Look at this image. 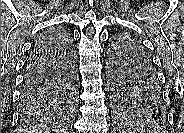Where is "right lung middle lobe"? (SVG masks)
<instances>
[{"instance_id":"obj_1","label":"right lung middle lobe","mask_w":184,"mask_h":133,"mask_svg":"<svg viewBox=\"0 0 184 133\" xmlns=\"http://www.w3.org/2000/svg\"><path fill=\"white\" fill-rule=\"evenodd\" d=\"M46 32L53 33L54 37L63 41L67 47L63 50L64 73L62 81L57 85V92L51 99L34 103L20 102L21 114L26 118L36 117L51 111L68 110L74 106L76 69L69 35L59 28L50 29Z\"/></svg>"}]
</instances>
